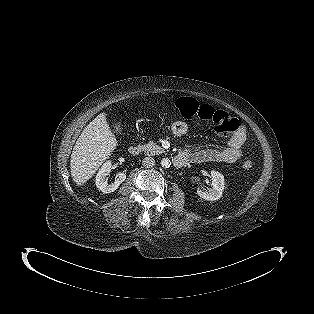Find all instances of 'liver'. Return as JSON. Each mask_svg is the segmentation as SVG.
<instances>
[{
  "label": "liver",
  "mask_w": 314,
  "mask_h": 314,
  "mask_svg": "<svg viewBox=\"0 0 314 314\" xmlns=\"http://www.w3.org/2000/svg\"><path fill=\"white\" fill-rule=\"evenodd\" d=\"M117 147L105 114L98 115L82 131L70 160L71 176L80 186L86 183Z\"/></svg>",
  "instance_id": "obj_1"
}]
</instances>
